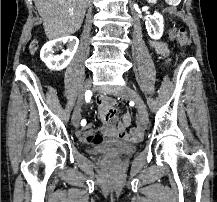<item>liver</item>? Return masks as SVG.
<instances>
[{
  "label": "liver",
  "instance_id": "liver-1",
  "mask_svg": "<svg viewBox=\"0 0 217 202\" xmlns=\"http://www.w3.org/2000/svg\"><path fill=\"white\" fill-rule=\"evenodd\" d=\"M48 40H58L80 30L88 0H33Z\"/></svg>",
  "mask_w": 217,
  "mask_h": 202
}]
</instances>
